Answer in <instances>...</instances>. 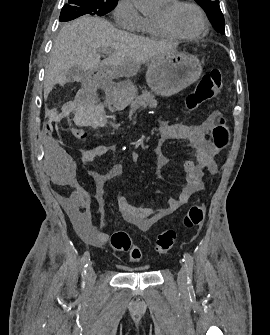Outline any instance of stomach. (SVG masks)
<instances>
[{"label":"stomach","mask_w":270,"mask_h":335,"mask_svg":"<svg viewBox=\"0 0 270 335\" xmlns=\"http://www.w3.org/2000/svg\"><path fill=\"white\" fill-rule=\"evenodd\" d=\"M202 64L198 56L189 52H166L151 58L146 72V82L156 96H174L199 80ZM137 90L132 84L121 88L123 102L130 104Z\"/></svg>","instance_id":"obj_1"}]
</instances>
